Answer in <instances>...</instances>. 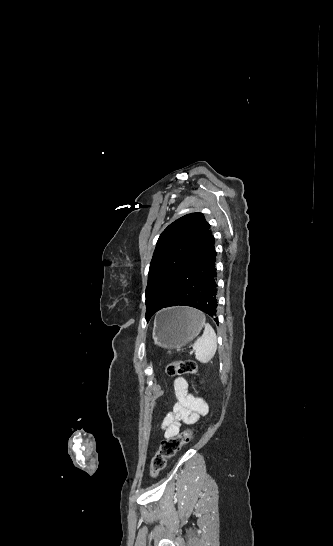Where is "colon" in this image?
I'll return each mask as SVG.
<instances>
[{"label": "colon", "mask_w": 333, "mask_h": 546, "mask_svg": "<svg viewBox=\"0 0 333 546\" xmlns=\"http://www.w3.org/2000/svg\"><path fill=\"white\" fill-rule=\"evenodd\" d=\"M165 372L170 377L194 375L197 372V366L192 360H175L167 364ZM193 435V430H187L174 437L164 439L151 460L150 475L156 477L165 468L167 459L172 458L181 447L192 439Z\"/></svg>", "instance_id": "1"}]
</instances>
